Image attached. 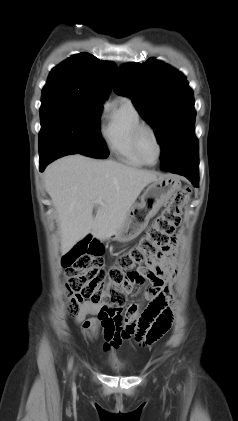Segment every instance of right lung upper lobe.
<instances>
[{
    "instance_id": "cb5924a9",
    "label": "right lung upper lobe",
    "mask_w": 238,
    "mask_h": 421,
    "mask_svg": "<svg viewBox=\"0 0 238 421\" xmlns=\"http://www.w3.org/2000/svg\"><path fill=\"white\" fill-rule=\"evenodd\" d=\"M116 72L113 62L99 60L89 53L76 54L52 69L43 91L105 100Z\"/></svg>"
}]
</instances>
